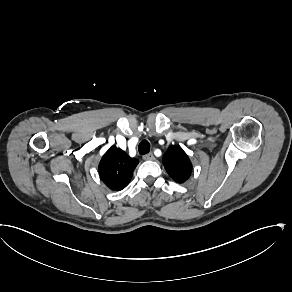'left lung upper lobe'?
<instances>
[{
    "mask_svg": "<svg viewBox=\"0 0 292 292\" xmlns=\"http://www.w3.org/2000/svg\"><path fill=\"white\" fill-rule=\"evenodd\" d=\"M162 162L169 176L177 183H184L191 175L192 163L179 146H170Z\"/></svg>",
    "mask_w": 292,
    "mask_h": 292,
    "instance_id": "left-lung-upper-lobe-1",
    "label": "left lung upper lobe"
}]
</instances>
